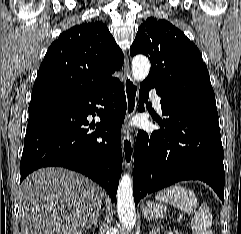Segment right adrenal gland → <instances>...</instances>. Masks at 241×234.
<instances>
[{
    "mask_svg": "<svg viewBox=\"0 0 241 234\" xmlns=\"http://www.w3.org/2000/svg\"><path fill=\"white\" fill-rule=\"evenodd\" d=\"M100 214H101V212H99V213L97 214V216L95 217V219H94V221H93V223H92V225L94 226V228L97 227ZM92 225H91V226H92ZM91 226H90L89 228H91Z\"/></svg>",
    "mask_w": 241,
    "mask_h": 234,
    "instance_id": "1",
    "label": "right adrenal gland"
}]
</instances>
